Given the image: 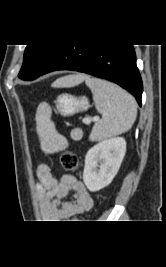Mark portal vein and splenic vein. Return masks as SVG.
Listing matches in <instances>:
<instances>
[{
  "instance_id": "portal-vein-and-splenic-vein-1",
  "label": "portal vein and splenic vein",
  "mask_w": 166,
  "mask_h": 267,
  "mask_svg": "<svg viewBox=\"0 0 166 267\" xmlns=\"http://www.w3.org/2000/svg\"><path fill=\"white\" fill-rule=\"evenodd\" d=\"M97 120H99V117H95V118H93V119L86 118V119L83 120V122H84L85 124L89 125L92 121H97Z\"/></svg>"
}]
</instances>
